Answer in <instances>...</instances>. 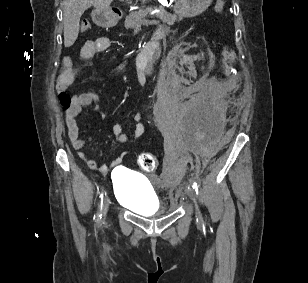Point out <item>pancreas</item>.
Wrapping results in <instances>:
<instances>
[{
  "instance_id": "obj_1",
  "label": "pancreas",
  "mask_w": 308,
  "mask_h": 283,
  "mask_svg": "<svg viewBox=\"0 0 308 283\" xmlns=\"http://www.w3.org/2000/svg\"><path fill=\"white\" fill-rule=\"evenodd\" d=\"M153 8H146L145 10H139L130 13L125 18V28L133 29L136 27H140L141 24L145 23V17L148 13H150ZM155 16L159 19V21L166 23L168 25H173L176 21H180L182 18L177 15H172L166 12L164 9H160V12L156 13Z\"/></svg>"
}]
</instances>
